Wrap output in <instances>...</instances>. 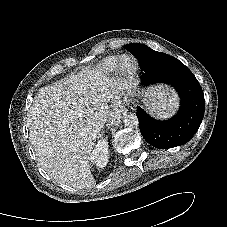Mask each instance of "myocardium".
Segmentation results:
<instances>
[{"label": "myocardium", "mask_w": 227, "mask_h": 227, "mask_svg": "<svg viewBox=\"0 0 227 227\" xmlns=\"http://www.w3.org/2000/svg\"><path fill=\"white\" fill-rule=\"evenodd\" d=\"M117 67L119 74L127 80L134 79L139 70L138 60L130 54L123 55Z\"/></svg>", "instance_id": "myocardium-1"}]
</instances>
